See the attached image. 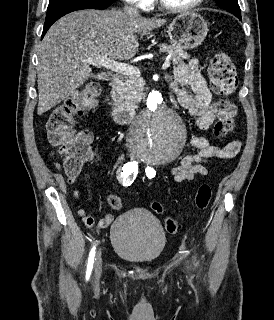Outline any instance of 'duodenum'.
Listing matches in <instances>:
<instances>
[{
    "label": "duodenum",
    "mask_w": 274,
    "mask_h": 320,
    "mask_svg": "<svg viewBox=\"0 0 274 320\" xmlns=\"http://www.w3.org/2000/svg\"><path fill=\"white\" fill-rule=\"evenodd\" d=\"M119 85L120 78L118 76H112L108 79V88L110 90L116 89ZM108 106L116 123L129 124L135 116V111L130 108L118 106L114 103H109Z\"/></svg>",
    "instance_id": "duodenum-1"
}]
</instances>
